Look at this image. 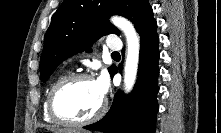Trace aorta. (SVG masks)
I'll list each match as a JSON object with an SVG mask.
<instances>
[{"mask_svg": "<svg viewBox=\"0 0 221 133\" xmlns=\"http://www.w3.org/2000/svg\"><path fill=\"white\" fill-rule=\"evenodd\" d=\"M111 22L126 36L127 56L124 67V91L129 93L133 89L137 77L140 40L134 26L127 19L114 16L111 18Z\"/></svg>", "mask_w": 221, "mask_h": 133, "instance_id": "1", "label": "aorta"}]
</instances>
